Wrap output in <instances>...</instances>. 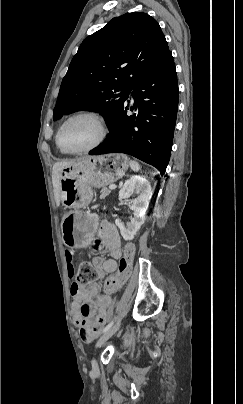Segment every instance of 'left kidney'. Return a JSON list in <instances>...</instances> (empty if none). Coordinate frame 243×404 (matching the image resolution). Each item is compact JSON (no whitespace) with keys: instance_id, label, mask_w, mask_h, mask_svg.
I'll return each instance as SVG.
<instances>
[{"instance_id":"5707ae66","label":"left kidney","mask_w":243,"mask_h":404,"mask_svg":"<svg viewBox=\"0 0 243 404\" xmlns=\"http://www.w3.org/2000/svg\"><path fill=\"white\" fill-rule=\"evenodd\" d=\"M137 194V198L133 200L134 218H131V222L127 226H123L121 220H116L115 224L120 230V234L124 240H133L136 236V232L140 230L142 224H144L145 214L148 210L149 202L152 198L150 182L146 178L141 176H132L130 180L125 182L123 188L119 192V200H126L130 198L131 194Z\"/></svg>"}]
</instances>
